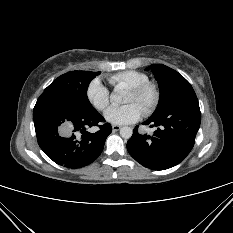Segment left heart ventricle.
Segmentation results:
<instances>
[{
  "mask_svg": "<svg viewBox=\"0 0 233 233\" xmlns=\"http://www.w3.org/2000/svg\"><path fill=\"white\" fill-rule=\"evenodd\" d=\"M125 103H137L138 105H140L143 109V100L140 99L139 97H137L134 93H132L131 91L128 92V95L125 99Z\"/></svg>",
  "mask_w": 233,
  "mask_h": 233,
  "instance_id": "left-heart-ventricle-1",
  "label": "left heart ventricle"
}]
</instances>
